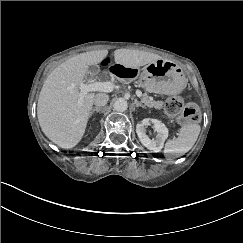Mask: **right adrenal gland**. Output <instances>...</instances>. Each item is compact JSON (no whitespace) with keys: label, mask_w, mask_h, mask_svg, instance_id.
Instances as JSON below:
<instances>
[{"label":"right adrenal gland","mask_w":243,"mask_h":243,"mask_svg":"<svg viewBox=\"0 0 243 243\" xmlns=\"http://www.w3.org/2000/svg\"><path fill=\"white\" fill-rule=\"evenodd\" d=\"M100 111H101V107H95V108H93V109L90 111V113H89V117H91L92 114H93L94 112L99 113Z\"/></svg>","instance_id":"2a0ac1e0"}]
</instances>
